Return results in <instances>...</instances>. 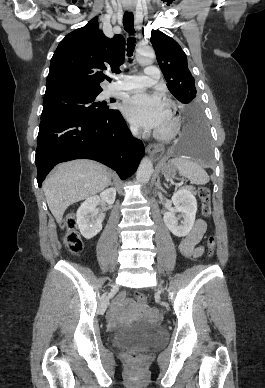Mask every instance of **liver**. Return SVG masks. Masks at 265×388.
<instances>
[{"label":"liver","instance_id":"6515ba94","mask_svg":"<svg viewBox=\"0 0 265 388\" xmlns=\"http://www.w3.org/2000/svg\"><path fill=\"white\" fill-rule=\"evenodd\" d=\"M110 184L106 166L92 160H74L54 168L43 182V192L51 214L61 224L68 206L91 198Z\"/></svg>","mask_w":265,"mask_h":388}]
</instances>
